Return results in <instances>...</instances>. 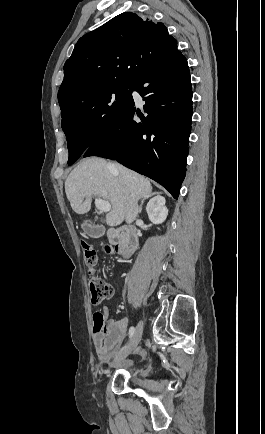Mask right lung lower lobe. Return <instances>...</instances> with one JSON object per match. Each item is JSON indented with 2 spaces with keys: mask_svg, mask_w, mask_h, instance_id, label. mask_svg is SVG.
I'll list each match as a JSON object with an SVG mask.
<instances>
[{
  "mask_svg": "<svg viewBox=\"0 0 265 434\" xmlns=\"http://www.w3.org/2000/svg\"><path fill=\"white\" fill-rule=\"evenodd\" d=\"M133 90L145 101L143 112L133 100L121 120L83 157L115 159L157 181L177 199L192 118L189 67L177 46L152 63L134 81Z\"/></svg>",
  "mask_w": 265,
  "mask_h": 434,
  "instance_id": "obj_1",
  "label": "right lung lower lobe"
}]
</instances>
